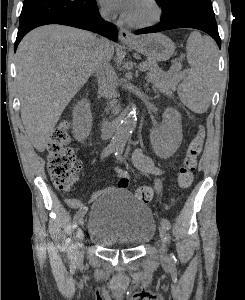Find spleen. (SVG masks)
<instances>
[{
  "mask_svg": "<svg viewBox=\"0 0 245 300\" xmlns=\"http://www.w3.org/2000/svg\"><path fill=\"white\" fill-rule=\"evenodd\" d=\"M186 52L191 69L185 74L178 95L190 110L201 114L208 109L211 101L217 70V49L211 39L193 32L187 40Z\"/></svg>",
  "mask_w": 245,
  "mask_h": 300,
  "instance_id": "1",
  "label": "spleen"
}]
</instances>
